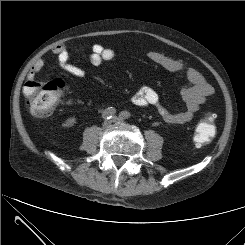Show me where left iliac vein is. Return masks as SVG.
I'll return each instance as SVG.
<instances>
[{
    "instance_id": "1",
    "label": "left iliac vein",
    "mask_w": 245,
    "mask_h": 245,
    "mask_svg": "<svg viewBox=\"0 0 245 245\" xmlns=\"http://www.w3.org/2000/svg\"><path fill=\"white\" fill-rule=\"evenodd\" d=\"M115 119H116V122H120V123L123 122L121 117H115Z\"/></svg>"
}]
</instances>
